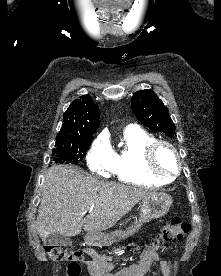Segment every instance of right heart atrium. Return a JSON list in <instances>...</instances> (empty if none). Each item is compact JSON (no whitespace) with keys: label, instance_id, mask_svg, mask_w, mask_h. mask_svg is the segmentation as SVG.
Returning a JSON list of instances; mask_svg holds the SVG:
<instances>
[{"label":"right heart atrium","instance_id":"right-heart-atrium-1","mask_svg":"<svg viewBox=\"0 0 221 276\" xmlns=\"http://www.w3.org/2000/svg\"><path fill=\"white\" fill-rule=\"evenodd\" d=\"M89 168L103 176L113 172L115 164V154L109 142L100 137L95 140L87 154Z\"/></svg>","mask_w":221,"mask_h":276}]
</instances>
